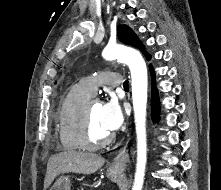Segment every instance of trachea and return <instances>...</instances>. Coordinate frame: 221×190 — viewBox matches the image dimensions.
Returning <instances> with one entry per match:
<instances>
[{
	"instance_id": "trachea-1",
	"label": "trachea",
	"mask_w": 221,
	"mask_h": 190,
	"mask_svg": "<svg viewBox=\"0 0 221 190\" xmlns=\"http://www.w3.org/2000/svg\"><path fill=\"white\" fill-rule=\"evenodd\" d=\"M124 89H129V82L125 81L123 84Z\"/></svg>"
}]
</instances>
